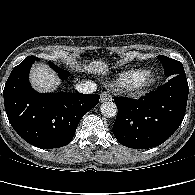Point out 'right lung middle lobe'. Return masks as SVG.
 <instances>
[{"label": "right lung middle lobe", "instance_id": "obj_1", "mask_svg": "<svg viewBox=\"0 0 195 195\" xmlns=\"http://www.w3.org/2000/svg\"><path fill=\"white\" fill-rule=\"evenodd\" d=\"M49 64L51 68L58 73V76L60 77L61 80H65L70 76V73L68 71L56 66L54 63L50 62Z\"/></svg>", "mask_w": 195, "mask_h": 195}]
</instances>
